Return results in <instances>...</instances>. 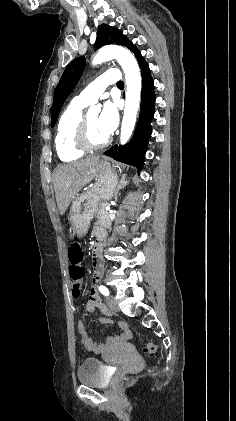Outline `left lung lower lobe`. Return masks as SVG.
I'll return each instance as SVG.
<instances>
[{
  "mask_svg": "<svg viewBox=\"0 0 236 421\" xmlns=\"http://www.w3.org/2000/svg\"><path fill=\"white\" fill-rule=\"evenodd\" d=\"M138 59L142 74L141 110L134 136L131 142L125 146H113L104 155L110 156L117 161L135 166L139 171L143 167L148 140L151 135V121L154 114L155 93L154 83L150 74L149 66L135 47L133 50Z\"/></svg>",
  "mask_w": 236,
  "mask_h": 421,
  "instance_id": "1",
  "label": "left lung lower lobe"
}]
</instances>
